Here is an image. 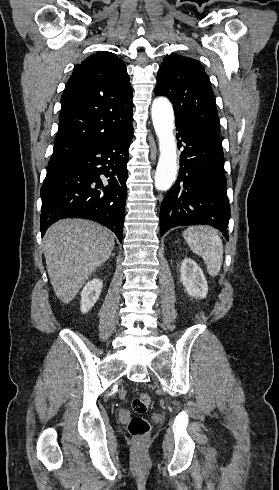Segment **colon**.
I'll return each mask as SVG.
<instances>
[{
    "label": "colon",
    "instance_id": "5ec220e1",
    "mask_svg": "<svg viewBox=\"0 0 279 490\" xmlns=\"http://www.w3.org/2000/svg\"><path fill=\"white\" fill-rule=\"evenodd\" d=\"M151 403L152 397L149 394H141L133 400L134 415L128 423V431L133 442H148L149 440L150 425L143 415Z\"/></svg>",
    "mask_w": 279,
    "mask_h": 490
}]
</instances>
